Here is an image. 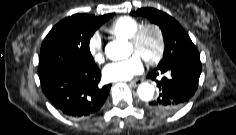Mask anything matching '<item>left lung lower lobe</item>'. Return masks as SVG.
Segmentation results:
<instances>
[{"label": "left lung lower lobe", "mask_w": 236, "mask_h": 135, "mask_svg": "<svg viewBox=\"0 0 236 135\" xmlns=\"http://www.w3.org/2000/svg\"><path fill=\"white\" fill-rule=\"evenodd\" d=\"M201 62L198 51L181 61H173L152 71L148 78L158 82L160 94L157 99L149 102V108L160 114H170L183 107L194 95L201 74Z\"/></svg>", "instance_id": "1"}]
</instances>
